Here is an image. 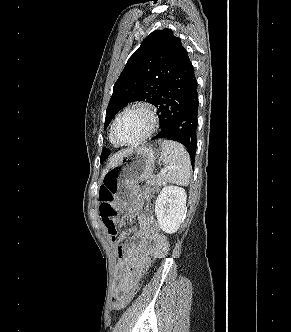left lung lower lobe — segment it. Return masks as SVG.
<instances>
[{
  "label": "left lung lower lobe",
  "instance_id": "1",
  "mask_svg": "<svg viewBox=\"0 0 291 332\" xmlns=\"http://www.w3.org/2000/svg\"><path fill=\"white\" fill-rule=\"evenodd\" d=\"M194 68L185 50L162 90L155 106L159 108L161 131L154 137L171 138L187 149L194 163L197 148L198 92Z\"/></svg>",
  "mask_w": 291,
  "mask_h": 332
}]
</instances>
